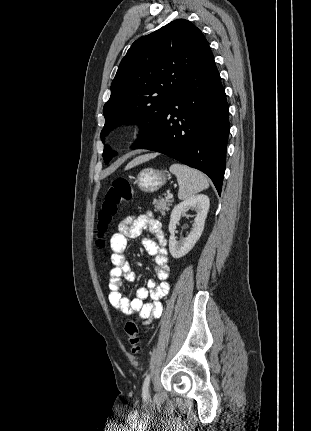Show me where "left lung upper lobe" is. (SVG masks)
I'll return each mask as SVG.
<instances>
[{
  "label": "left lung upper lobe",
  "instance_id": "1",
  "mask_svg": "<svg viewBox=\"0 0 311 431\" xmlns=\"http://www.w3.org/2000/svg\"><path fill=\"white\" fill-rule=\"evenodd\" d=\"M210 50L193 23L178 19L136 40L122 59L104 105L101 138L119 124L139 123L142 131L132 149L157 130L182 84ZM104 141V139H102ZM116 155L104 147L106 164Z\"/></svg>",
  "mask_w": 311,
  "mask_h": 431
}]
</instances>
